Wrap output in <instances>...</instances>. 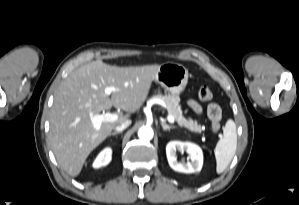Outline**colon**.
Wrapping results in <instances>:
<instances>
[{"mask_svg": "<svg viewBox=\"0 0 299 205\" xmlns=\"http://www.w3.org/2000/svg\"><path fill=\"white\" fill-rule=\"evenodd\" d=\"M198 95L203 101H208L212 98V92L207 85L201 86ZM208 114L211 120L212 130L214 133H217L220 130L221 111L218 108H211Z\"/></svg>", "mask_w": 299, "mask_h": 205, "instance_id": "1", "label": "colon"}]
</instances>
